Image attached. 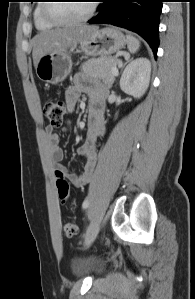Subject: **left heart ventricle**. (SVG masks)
Here are the masks:
<instances>
[{
	"mask_svg": "<svg viewBox=\"0 0 195 299\" xmlns=\"http://www.w3.org/2000/svg\"><path fill=\"white\" fill-rule=\"evenodd\" d=\"M90 5L91 1L60 2L52 4L50 11L60 19H75L84 16Z\"/></svg>",
	"mask_w": 195,
	"mask_h": 299,
	"instance_id": "left-heart-ventricle-1",
	"label": "left heart ventricle"
}]
</instances>
